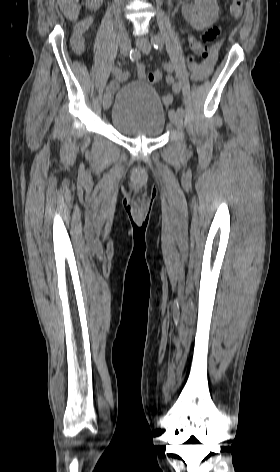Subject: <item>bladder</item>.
I'll return each instance as SVG.
<instances>
[{
    "mask_svg": "<svg viewBox=\"0 0 280 472\" xmlns=\"http://www.w3.org/2000/svg\"><path fill=\"white\" fill-rule=\"evenodd\" d=\"M110 122L125 136L156 138L165 129L166 112L153 86L131 81L117 91Z\"/></svg>",
    "mask_w": 280,
    "mask_h": 472,
    "instance_id": "31cf9c89",
    "label": "bladder"
}]
</instances>
